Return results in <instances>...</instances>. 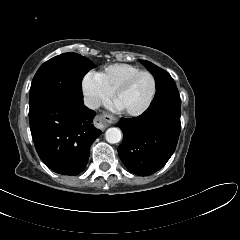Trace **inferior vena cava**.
<instances>
[{
  "label": "inferior vena cava",
  "mask_w": 240,
  "mask_h": 240,
  "mask_svg": "<svg viewBox=\"0 0 240 240\" xmlns=\"http://www.w3.org/2000/svg\"><path fill=\"white\" fill-rule=\"evenodd\" d=\"M84 104L89 109L94 110L100 107V100L92 96H86L84 98Z\"/></svg>",
  "instance_id": "inferior-vena-cava-1"
}]
</instances>
